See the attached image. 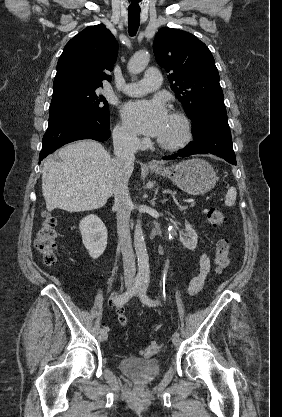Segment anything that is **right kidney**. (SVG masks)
Returning a JSON list of instances; mask_svg holds the SVG:
<instances>
[{
	"instance_id": "ca27d5eb",
	"label": "right kidney",
	"mask_w": 282,
	"mask_h": 417,
	"mask_svg": "<svg viewBox=\"0 0 282 417\" xmlns=\"http://www.w3.org/2000/svg\"><path fill=\"white\" fill-rule=\"evenodd\" d=\"M82 241L92 259L103 255L107 247V229L97 215H87L79 223Z\"/></svg>"
}]
</instances>
